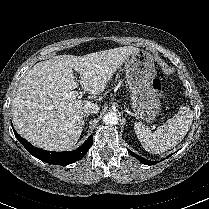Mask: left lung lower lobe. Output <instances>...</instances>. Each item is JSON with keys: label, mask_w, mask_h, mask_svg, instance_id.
Wrapping results in <instances>:
<instances>
[{"label": "left lung lower lobe", "mask_w": 209, "mask_h": 209, "mask_svg": "<svg viewBox=\"0 0 209 209\" xmlns=\"http://www.w3.org/2000/svg\"><path fill=\"white\" fill-rule=\"evenodd\" d=\"M129 153L132 155V156H134L135 158H137L138 160H140L143 164H146V165H154V164H156V163H158L157 161H150V160H146V159H144V158H142V157H140V156H138V155H136L135 153H133L132 151H130L129 150ZM169 157V156H168ZM167 157V158H168ZM164 160V159H163Z\"/></svg>", "instance_id": "obj_1"}]
</instances>
